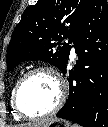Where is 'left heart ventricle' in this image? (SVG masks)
<instances>
[{"mask_svg": "<svg viewBox=\"0 0 108 127\" xmlns=\"http://www.w3.org/2000/svg\"><path fill=\"white\" fill-rule=\"evenodd\" d=\"M58 97L56 80L47 73H37L24 83L19 95V104L27 114L40 115L51 110Z\"/></svg>", "mask_w": 108, "mask_h": 127, "instance_id": "obj_1", "label": "left heart ventricle"}]
</instances>
